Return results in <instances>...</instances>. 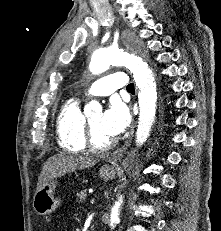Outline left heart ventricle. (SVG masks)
I'll return each instance as SVG.
<instances>
[{
  "instance_id": "b2bd125f",
  "label": "left heart ventricle",
  "mask_w": 221,
  "mask_h": 231,
  "mask_svg": "<svg viewBox=\"0 0 221 231\" xmlns=\"http://www.w3.org/2000/svg\"><path fill=\"white\" fill-rule=\"evenodd\" d=\"M88 119L92 128L94 140L97 144L104 145L114 139V137L105 133L101 127V112H95L89 115Z\"/></svg>"
}]
</instances>
